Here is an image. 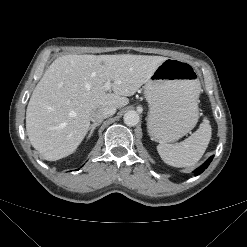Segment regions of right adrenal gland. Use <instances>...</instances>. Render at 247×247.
Masks as SVG:
<instances>
[{
    "label": "right adrenal gland",
    "instance_id": "2a0ac1e0",
    "mask_svg": "<svg viewBox=\"0 0 247 247\" xmlns=\"http://www.w3.org/2000/svg\"><path fill=\"white\" fill-rule=\"evenodd\" d=\"M100 125V123H94V124H91V126L89 127V134H88V139L91 137V135L93 134V132H94V130H95V128L97 127V126H99Z\"/></svg>",
    "mask_w": 247,
    "mask_h": 247
}]
</instances>
